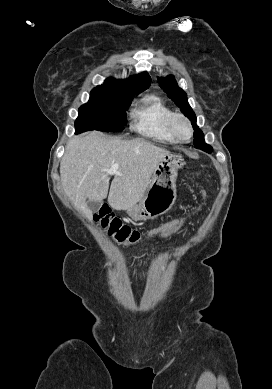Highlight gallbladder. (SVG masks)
<instances>
[{"mask_svg": "<svg viewBox=\"0 0 272 389\" xmlns=\"http://www.w3.org/2000/svg\"><path fill=\"white\" fill-rule=\"evenodd\" d=\"M87 205H88V208L90 209V211L92 213H96L99 211L101 205H102V202L101 201H93V200H89L87 199Z\"/></svg>", "mask_w": 272, "mask_h": 389, "instance_id": "obj_1", "label": "gallbladder"}]
</instances>
